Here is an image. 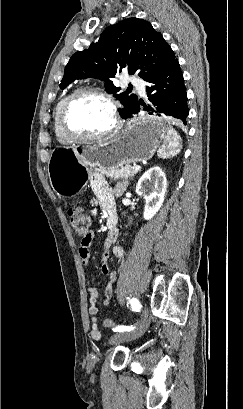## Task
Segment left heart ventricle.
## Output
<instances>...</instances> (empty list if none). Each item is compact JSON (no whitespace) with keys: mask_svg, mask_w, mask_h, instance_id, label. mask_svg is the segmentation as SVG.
I'll return each mask as SVG.
<instances>
[{"mask_svg":"<svg viewBox=\"0 0 243 409\" xmlns=\"http://www.w3.org/2000/svg\"><path fill=\"white\" fill-rule=\"evenodd\" d=\"M67 124L72 131L83 135L102 133L112 124L109 107L94 96L78 97L70 106Z\"/></svg>","mask_w":243,"mask_h":409,"instance_id":"obj_1","label":"left heart ventricle"}]
</instances>
